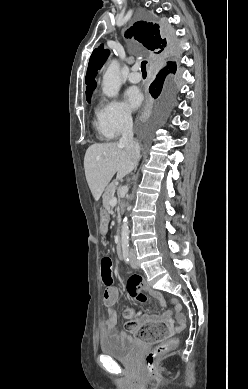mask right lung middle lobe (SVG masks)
I'll return each instance as SVG.
<instances>
[{
    "label": "right lung middle lobe",
    "instance_id": "dd1d6c3e",
    "mask_svg": "<svg viewBox=\"0 0 248 389\" xmlns=\"http://www.w3.org/2000/svg\"><path fill=\"white\" fill-rule=\"evenodd\" d=\"M177 66L170 70L160 82L157 83L155 88L152 89L151 95L154 99L158 98L160 108L163 112L168 111L175 102L177 94V87L172 80L171 74H175ZM90 102V97L87 98Z\"/></svg>",
    "mask_w": 248,
    "mask_h": 389
}]
</instances>
